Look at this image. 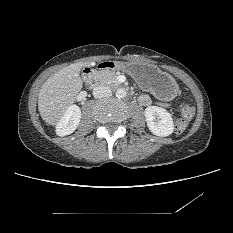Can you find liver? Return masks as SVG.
Returning a JSON list of instances; mask_svg holds the SVG:
<instances>
[{"label": "liver", "instance_id": "1", "mask_svg": "<svg viewBox=\"0 0 233 233\" xmlns=\"http://www.w3.org/2000/svg\"><path fill=\"white\" fill-rule=\"evenodd\" d=\"M84 65L74 63L64 67L42 85L38 94V110L47 124L56 125L75 102L83 87L80 71Z\"/></svg>", "mask_w": 233, "mask_h": 233}]
</instances>
